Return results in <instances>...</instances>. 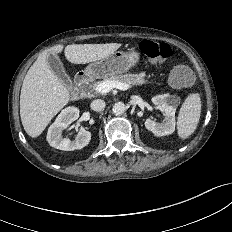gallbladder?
I'll return each instance as SVG.
<instances>
[{"instance_id":"bac80fb5","label":"gallbladder","mask_w":232,"mask_h":232,"mask_svg":"<svg viewBox=\"0 0 232 232\" xmlns=\"http://www.w3.org/2000/svg\"><path fill=\"white\" fill-rule=\"evenodd\" d=\"M47 63L50 69L53 71V73L59 78V80L64 85L68 87L72 86L71 79L66 73L60 58L56 54L51 53L47 58Z\"/></svg>"}]
</instances>
